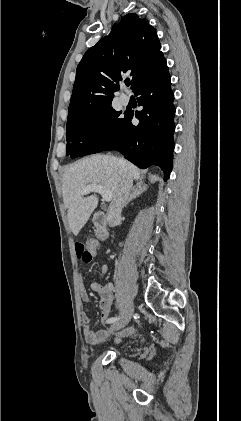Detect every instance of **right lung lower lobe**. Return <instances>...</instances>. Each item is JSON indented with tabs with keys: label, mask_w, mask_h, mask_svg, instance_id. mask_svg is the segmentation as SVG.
Segmentation results:
<instances>
[{
	"label": "right lung lower lobe",
	"mask_w": 241,
	"mask_h": 421,
	"mask_svg": "<svg viewBox=\"0 0 241 421\" xmlns=\"http://www.w3.org/2000/svg\"><path fill=\"white\" fill-rule=\"evenodd\" d=\"M133 92L140 96L138 104L143 106V110L135 114L139 124L133 125V113H127L125 129L104 151L118 150L127 160L142 169L159 166L167 180L172 170L175 107L171 78L164 57L138 83Z\"/></svg>",
	"instance_id": "right-lung-lower-lobe-1"
}]
</instances>
